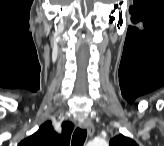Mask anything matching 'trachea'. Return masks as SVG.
Returning a JSON list of instances; mask_svg holds the SVG:
<instances>
[{
  "label": "trachea",
  "mask_w": 164,
  "mask_h": 146,
  "mask_svg": "<svg viewBox=\"0 0 164 146\" xmlns=\"http://www.w3.org/2000/svg\"><path fill=\"white\" fill-rule=\"evenodd\" d=\"M87 136L86 129L77 128L72 137V146H83Z\"/></svg>",
  "instance_id": "3493384b"
}]
</instances>
